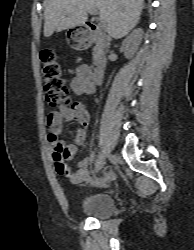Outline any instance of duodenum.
I'll return each mask as SVG.
<instances>
[{"instance_id":"1","label":"duodenum","mask_w":194,"mask_h":250,"mask_svg":"<svg viewBox=\"0 0 194 250\" xmlns=\"http://www.w3.org/2000/svg\"><path fill=\"white\" fill-rule=\"evenodd\" d=\"M85 30L87 34H82L85 37L89 44L100 41L104 43V38L102 35V29L95 23L87 22L85 24ZM105 69V60L102 57H97L94 61L93 71L91 75L92 82L98 84L102 81Z\"/></svg>"}]
</instances>
